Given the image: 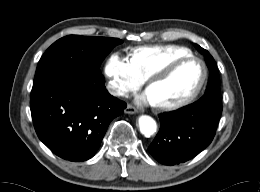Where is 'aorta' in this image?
I'll return each instance as SVG.
<instances>
[{"instance_id":"1","label":"aorta","mask_w":260,"mask_h":192,"mask_svg":"<svg viewBox=\"0 0 260 192\" xmlns=\"http://www.w3.org/2000/svg\"><path fill=\"white\" fill-rule=\"evenodd\" d=\"M139 128H140V132L146 136V137H150L152 136L157 129V125L155 120L148 116V115H142L139 117Z\"/></svg>"}]
</instances>
